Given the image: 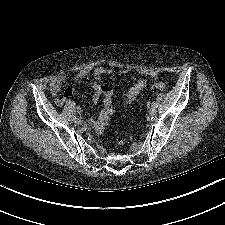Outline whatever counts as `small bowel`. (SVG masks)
<instances>
[{
    "instance_id": "c3829d8e",
    "label": "small bowel",
    "mask_w": 225,
    "mask_h": 225,
    "mask_svg": "<svg viewBox=\"0 0 225 225\" xmlns=\"http://www.w3.org/2000/svg\"><path fill=\"white\" fill-rule=\"evenodd\" d=\"M114 73V70L109 67H97L93 70H83L79 72L74 78L73 81L78 83L82 80H88L89 76L92 75L93 79L89 80L91 88L93 90V100L95 102L99 101L101 97H104V101L109 99L112 101L114 97L113 90L104 84L99 82L102 76L111 75ZM129 70L123 69L119 71L120 75L128 74ZM136 73L141 76V79L138 80L127 92L124 102L126 105L132 104L141 91L147 86L148 80L156 79L159 76V73L155 70L150 69H138ZM66 81V75L60 74L56 76L50 83V93L53 97L57 98V104H61V99L58 98V95L61 91V87L63 83ZM74 96V92L72 89L68 88L63 93V98L68 99ZM86 127L91 128L94 125V120L90 119L86 122Z\"/></svg>"
}]
</instances>
